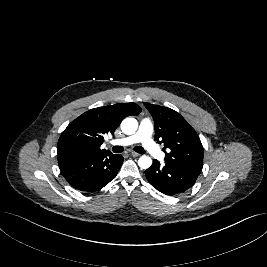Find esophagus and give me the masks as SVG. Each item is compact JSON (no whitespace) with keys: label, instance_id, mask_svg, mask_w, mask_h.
I'll return each instance as SVG.
<instances>
[{"label":"esophagus","instance_id":"34e87169","mask_svg":"<svg viewBox=\"0 0 267 267\" xmlns=\"http://www.w3.org/2000/svg\"><path fill=\"white\" fill-rule=\"evenodd\" d=\"M130 154H131V156H133V157H138V156H140V154L137 153V152H131Z\"/></svg>","mask_w":267,"mask_h":267}]
</instances>
